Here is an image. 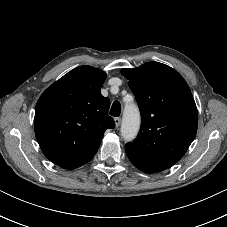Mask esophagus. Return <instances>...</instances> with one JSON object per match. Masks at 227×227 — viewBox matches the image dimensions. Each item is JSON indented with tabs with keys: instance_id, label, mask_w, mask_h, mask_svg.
I'll use <instances>...</instances> for the list:
<instances>
[{
	"instance_id": "1",
	"label": "esophagus",
	"mask_w": 227,
	"mask_h": 227,
	"mask_svg": "<svg viewBox=\"0 0 227 227\" xmlns=\"http://www.w3.org/2000/svg\"><path fill=\"white\" fill-rule=\"evenodd\" d=\"M114 121H115L116 127H119L120 124H121V118L120 117H116V118H114Z\"/></svg>"
}]
</instances>
